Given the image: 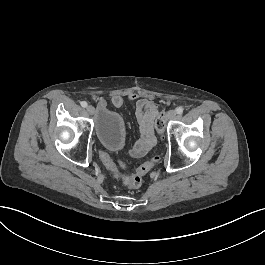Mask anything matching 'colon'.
Masks as SVG:
<instances>
[{"mask_svg": "<svg viewBox=\"0 0 265 265\" xmlns=\"http://www.w3.org/2000/svg\"><path fill=\"white\" fill-rule=\"evenodd\" d=\"M165 113H160V117L156 120V130L158 133V138H163V130H164V121ZM100 160L103 165L112 172L113 176L120 180L124 186L130 189L138 188L142 183L143 176L148 173L159 161V157L157 155L152 156L149 160L144 162L142 165L138 167V169L134 172H126L120 173L116 168L115 163L110 158V156L104 152H100Z\"/></svg>", "mask_w": 265, "mask_h": 265, "instance_id": "colon-1", "label": "colon"}]
</instances>
